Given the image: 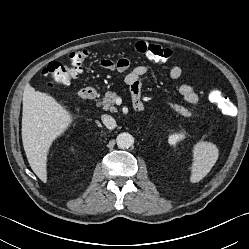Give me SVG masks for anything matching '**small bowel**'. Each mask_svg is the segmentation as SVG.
Segmentation results:
<instances>
[{"label":"small bowel","instance_id":"small-bowel-1","mask_svg":"<svg viewBox=\"0 0 249 249\" xmlns=\"http://www.w3.org/2000/svg\"><path fill=\"white\" fill-rule=\"evenodd\" d=\"M110 60L104 59L100 62V65L105 68L112 70L114 68L117 69L119 72L126 71L129 66V60L126 58H121L118 60L119 65L115 66L112 63L107 64ZM147 73V67L145 66H137L129 71L126 75V82L130 86L131 93L133 99H140L141 89H142V82L141 77ZM182 75V69L178 65H174L170 68V77L172 80H178ZM178 92L180 95L183 96L184 100L188 104H195L199 100V95L195 90L194 86L190 84H182L178 87Z\"/></svg>","mask_w":249,"mask_h":249}]
</instances>
